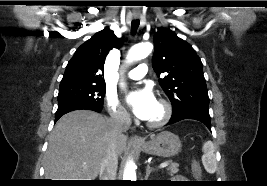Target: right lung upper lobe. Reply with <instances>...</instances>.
I'll return each instance as SVG.
<instances>
[{"mask_svg": "<svg viewBox=\"0 0 267 186\" xmlns=\"http://www.w3.org/2000/svg\"><path fill=\"white\" fill-rule=\"evenodd\" d=\"M122 44L123 39H117L109 27L97 32L76 50L68 62L60 86L105 85L103 71L106 56L113 47L119 49Z\"/></svg>", "mask_w": 267, "mask_h": 186, "instance_id": "right-lung-upper-lobe-1", "label": "right lung upper lobe"}]
</instances>
